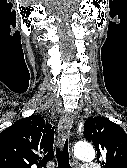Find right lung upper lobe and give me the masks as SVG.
<instances>
[{"mask_svg": "<svg viewBox=\"0 0 127 168\" xmlns=\"http://www.w3.org/2000/svg\"><path fill=\"white\" fill-rule=\"evenodd\" d=\"M53 142L54 128L40 115L17 120L0 133V168H46Z\"/></svg>", "mask_w": 127, "mask_h": 168, "instance_id": "cb5924a9", "label": "right lung upper lobe"}]
</instances>
